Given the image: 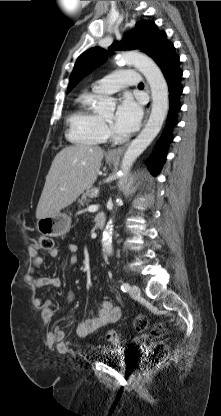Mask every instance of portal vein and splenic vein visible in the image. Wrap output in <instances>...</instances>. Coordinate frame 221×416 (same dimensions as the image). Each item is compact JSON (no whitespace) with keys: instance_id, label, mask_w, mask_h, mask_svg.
<instances>
[{"instance_id":"1","label":"portal vein and splenic vein","mask_w":221,"mask_h":416,"mask_svg":"<svg viewBox=\"0 0 221 416\" xmlns=\"http://www.w3.org/2000/svg\"><path fill=\"white\" fill-rule=\"evenodd\" d=\"M98 209V205H90L88 207V211H96Z\"/></svg>"}]
</instances>
